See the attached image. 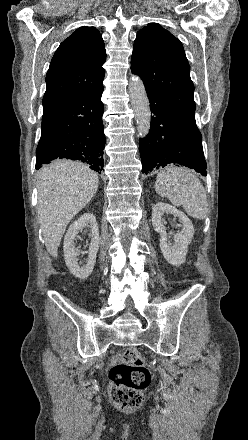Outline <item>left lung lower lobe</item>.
Instances as JSON below:
<instances>
[{
    "label": "left lung lower lobe",
    "mask_w": 248,
    "mask_h": 440,
    "mask_svg": "<svg viewBox=\"0 0 248 440\" xmlns=\"http://www.w3.org/2000/svg\"><path fill=\"white\" fill-rule=\"evenodd\" d=\"M147 95L153 116L149 134L139 143L142 173L180 164L206 176L202 136L195 118L181 112L159 94L147 92Z\"/></svg>",
    "instance_id": "obj_1"
}]
</instances>
